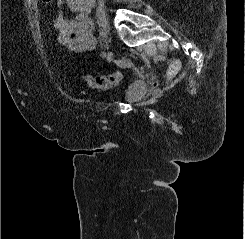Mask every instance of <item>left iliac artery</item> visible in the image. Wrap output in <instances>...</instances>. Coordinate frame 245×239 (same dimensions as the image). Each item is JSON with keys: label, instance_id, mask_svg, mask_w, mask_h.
<instances>
[{"label": "left iliac artery", "instance_id": "left-iliac-artery-1", "mask_svg": "<svg viewBox=\"0 0 245 239\" xmlns=\"http://www.w3.org/2000/svg\"><path fill=\"white\" fill-rule=\"evenodd\" d=\"M101 55H102V58H104L106 56L105 51H103Z\"/></svg>", "mask_w": 245, "mask_h": 239}]
</instances>
